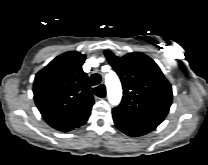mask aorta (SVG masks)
<instances>
[{"instance_id":"obj_1","label":"aorta","mask_w":208,"mask_h":165,"mask_svg":"<svg viewBox=\"0 0 208 165\" xmlns=\"http://www.w3.org/2000/svg\"><path fill=\"white\" fill-rule=\"evenodd\" d=\"M108 100L111 105H118L122 97V87L118 76L111 72L105 78Z\"/></svg>"}]
</instances>
